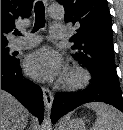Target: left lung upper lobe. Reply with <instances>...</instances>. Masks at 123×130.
Listing matches in <instances>:
<instances>
[{
	"label": "left lung upper lobe",
	"instance_id": "left-lung-upper-lobe-1",
	"mask_svg": "<svg viewBox=\"0 0 123 130\" xmlns=\"http://www.w3.org/2000/svg\"><path fill=\"white\" fill-rule=\"evenodd\" d=\"M65 8V22L75 25L70 39L76 60L92 74L119 81L114 63L111 15L106 0H57Z\"/></svg>",
	"mask_w": 123,
	"mask_h": 130
}]
</instances>
